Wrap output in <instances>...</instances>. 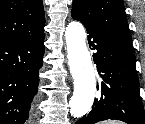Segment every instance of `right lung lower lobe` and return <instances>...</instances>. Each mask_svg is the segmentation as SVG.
I'll return each instance as SVG.
<instances>
[{"label": "right lung lower lobe", "instance_id": "obj_1", "mask_svg": "<svg viewBox=\"0 0 145 124\" xmlns=\"http://www.w3.org/2000/svg\"><path fill=\"white\" fill-rule=\"evenodd\" d=\"M44 31L0 41V123L24 124L39 98V69L43 65Z\"/></svg>", "mask_w": 145, "mask_h": 124}]
</instances>
